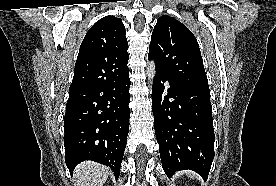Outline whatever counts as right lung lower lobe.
<instances>
[{
  "label": "right lung lower lobe",
  "instance_id": "right-lung-lower-lobe-1",
  "mask_svg": "<svg viewBox=\"0 0 276 186\" xmlns=\"http://www.w3.org/2000/svg\"><path fill=\"white\" fill-rule=\"evenodd\" d=\"M130 79L70 91L64 117L65 162L70 173L84 160L109 166L118 179L130 118Z\"/></svg>",
  "mask_w": 276,
  "mask_h": 186
}]
</instances>
